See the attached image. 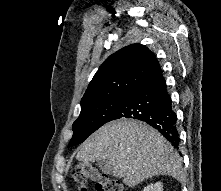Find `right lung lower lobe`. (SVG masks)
<instances>
[{"mask_svg":"<svg viewBox=\"0 0 221 191\" xmlns=\"http://www.w3.org/2000/svg\"><path fill=\"white\" fill-rule=\"evenodd\" d=\"M120 118L137 119L151 125L175 148H179L177 117L161 69L124 96L110 121Z\"/></svg>","mask_w":221,"mask_h":191,"instance_id":"obj_1","label":"right lung lower lobe"}]
</instances>
